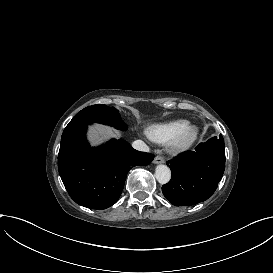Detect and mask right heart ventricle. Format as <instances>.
Returning a JSON list of instances; mask_svg holds the SVG:
<instances>
[{
	"instance_id": "1",
	"label": "right heart ventricle",
	"mask_w": 273,
	"mask_h": 273,
	"mask_svg": "<svg viewBox=\"0 0 273 273\" xmlns=\"http://www.w3.org/2000/svg\"><path fill=\"white\" fill-rule=\"evenodd\" d=\"M189 124L186 119H178L164 124H156L149 127L146 131L150 140L156 143H169L180 134V132Z\"/></svg>"
}]
</instances>
